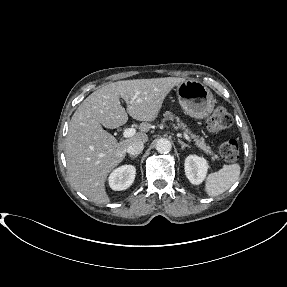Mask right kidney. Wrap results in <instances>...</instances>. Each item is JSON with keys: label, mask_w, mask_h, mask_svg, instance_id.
I'll use <instances>...</instances> for the list:
<instances>
[{"label": "right kidney", "mask_w": 287, "mask_h": 287, "mask_svg": "<svg viewBox=\"0 0 287 287\" xmlns=\"http://www.w3.org/2000/svg\"><path fill=\"white\" fill-rule=\"evenodd\" d=\"M136 169L132 165H123L109 176V186L116 191L129 188L134 182Z\"/></svg>", "instance_id": "1"}]
</instances>
